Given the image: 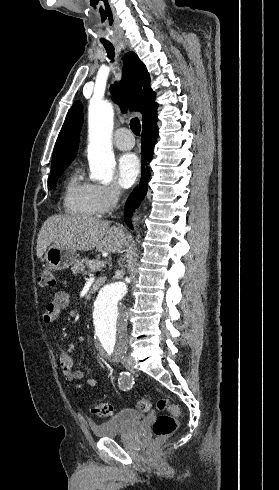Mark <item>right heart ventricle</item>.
<instances>
[{"mask_svg":"<svg viewBox=\"0 0 279 490\" xmlns=\"http://www.w3.org/2000/svg\"><path fill=\"white\" fill-rule=\"evenodd\" d=\"M64 204L67 213L73 216L82 218H94L96 216L91 203L89 184L79 181L74 174L67 181Z\"/></svg>","mask_w":279,"mask_h":490,"instance_id":"obj_1","label":"right heart ventricle"}]
</instances>
